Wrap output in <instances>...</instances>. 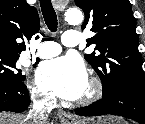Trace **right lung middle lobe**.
Here are the masks:
<instances>
[{"instance_id": "dd1d6c3e", "label": "right lung middle lobe", "mask_w": 145, "mask_h": 124, "mask_svg": "<svg viewBox=\"0 0 145 124\" xmlns=\"http://www.w3.org/2000/svg\"><path fill=\"white\" fill-rule=\"evenodd\" d=\"M19 55L0 52V81L21 82L25 76L16 67Z\"/></svg>"}]
</instances>
